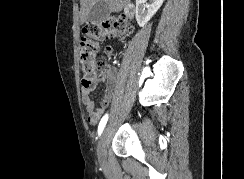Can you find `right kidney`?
<instances>
[{
	"mask_svg": "<svg viewBox=\"0 0 244 179\" xmlns=\"http://www.w3.org/2000/svg\"><path fill=\"white\" fill-rule=\"evenodd\" d=\"M164 0H154L153 4H147V0H136L135 18L138 26L144 28L152 16L161 8Z\"/></svg>",
	"mask_w": 244,
	"mask_h": 179,
	"instance_id": "ca27d5eb",
	"label": "right kidney"
}]
</instances>
